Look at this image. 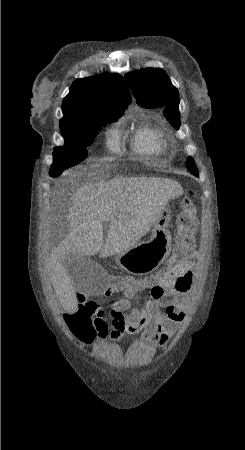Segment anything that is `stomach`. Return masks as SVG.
Returning a JSON list of instances; mask_svg holds the SVG:
<instances>
[{
	"mask_svg": "<svg viewBox=\"0 0 245 450\" xmlns=\"http://www.w3.org/2000/svg\"><path fill=\"white\" fill-rule=\"evenodd\" d=\"M170 213L167 204L154 223L150 240L138 243L127 252L114 257L121 268L135 275H143L157 269L168 258L172 246L167 229Z\"/></svg>",
	"mask_w": 245,
	"mask_h": 450,
	"instance_id": "obj_1",
	"label": "stomach"
}]
</instances>
